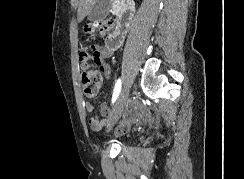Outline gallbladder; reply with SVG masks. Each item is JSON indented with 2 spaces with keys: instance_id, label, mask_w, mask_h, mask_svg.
Instances as JSON below:
<instances>
[{
  "instance_id": "gallbladder-1",
  "label": "gallbladder",
  "mask_w": 244,
  "mask_h": 179,
  "mask_svg": "<svg viewBox=\"0 0 244 179\" xmlns=\"http://www.w3.org/2000/svg\"><path fill=\"white\" fill-rule=\"evenodd\" d=\"M112 0H96L92 10L88 14V20L91 22H98L103 20L109 14V8H111Z\"/></svg>"
}]
</instances>
